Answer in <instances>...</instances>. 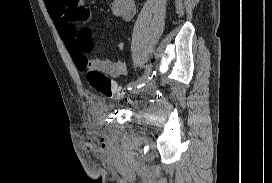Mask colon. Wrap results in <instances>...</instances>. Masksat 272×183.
Here are the masks:
<instances>
[{"label":"colon","instance_id":"5ec220e1","mask_svg":"<svg viewBox=\"0 0 272 183\" xmlns=\"http://www.w3.org/2000/svg\"><path fill=\"white\" fill-rule=\"evenodd\" d=\"M87 81L89 85L100 95L106 98H122L123 90L118 87L106 74L89 68L87 71Z\"/></svg>","mask_w":272,"mask_h":183}]
</instances>
